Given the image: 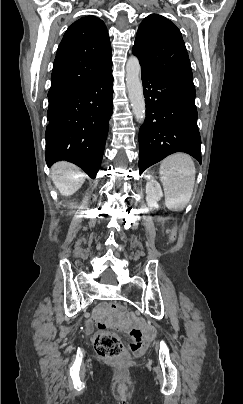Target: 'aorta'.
Wrapping results in <instances>:
<instances>
[{
	"instance_id": "1",
	"label": "aorta",
	"mask_w": 243,
	"mask_h": 404,
	"mask_svg": "<svg viewBox=\"0 0 243 404\" xmlns=\"http://www.w3.org/2000/svg\"><path fill=\"white\" fill-rule=\"evenodd\" d=\"M140 76L141 68L139 60L135 56H131L126 64V88L137 122H144L146 104Z\"/></svg>"
}]
</instances>
